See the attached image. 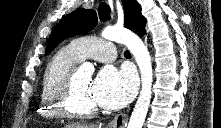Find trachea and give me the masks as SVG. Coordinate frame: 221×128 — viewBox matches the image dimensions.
I'll list each match as a JSON object with an SVG mask.
<instances>
[{"instance_id": "obj_1", "label": "trachea", "mask_w": 221, "mask_h": 128, "mask_svg": "<svg viewBox=\"0 0 221 128\" xmlns=\"http://www.w3.org/2000/svg\"><path fill=\"white\" fill-rule=\"evenodd\" d=\"M124 56H125V57L130 56V52L126 50V51L124 52Z\"/></svg>"}]
</instances>
